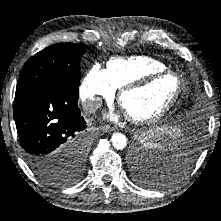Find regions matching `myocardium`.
Returning <instances> with one entry per match:
<instances>
[{
  "instance_id": "myocardium-1",
  "label": "myocardium",
  "mask_w": 221,
  "mask_h": 221,
  "mask_svg": "<svg viewBox=\"0 0 221 221\" xmlns=\"http://www.w3.org/2000/svg\"><path fill=\"white\" fill-rule=\"evenodd\" d=\"M163 76H173L177 82V88H176V91H175L173 97L162 109H160L157 113H155L151 116L134 117V116H130V115L126 114L127 118L132 123H134V124H151V123L158 122L163 117H165L172 110V108L175 106V104L177 103V101L182 93V89H183L182 79L180 78V76L176 72L166 69V70H162V71L148 73L145 76L140 77L134 81H131V82L123 85L120 88V90L118 92L117 100H118L119 105L121 106L122 98L126 93H128L130 91L137 90V89H141V88L149 85L155 79L163 77Z\"/></svg>"
}]
</instances>
